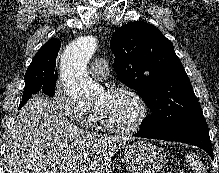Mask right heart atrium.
Instances as JSON below:
<instances>
[{
	"label": "right heart atrium",
	"instance_id": "d8ad5b80",
	"mask_svg": "<svg viewBox=\"0 0 219 173\" xmlns=\"http://www.w3.org/2000/svg\"><path fill=\"white\" fill-rule=\"evenodd\" d=\"M52 102L54 106L66 117L84 128H92L96 124V115L93 112L83 110L64 91L60 84L53 90Z\"/></svg>",
	"mask_w": 219,
	"mask_h": 173
}]
</instances>
